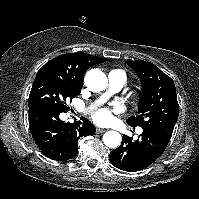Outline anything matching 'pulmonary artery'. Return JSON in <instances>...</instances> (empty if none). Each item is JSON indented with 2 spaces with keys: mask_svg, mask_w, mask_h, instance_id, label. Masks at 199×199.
Listing matches in <instances>:
<instances>
[{
  "mask_svg": "<svg viewBox=\"0 0 199 199\" xmlns=\"http://www.w3.org/2000/svg\"><path fill=\"white\" fill-rule=\"evenodd\" d=\"M109 90L103 95L102 100L106 99L110 94L119 91L125 84V74L122 70L113 69L108 74Z\"/></svg>",
  "mask_w": 199,
  "mask_h": 199,
  "instance_id": "pulmonary-artery-1",
  "label": "pulmonary artery"
}]
</instances>
